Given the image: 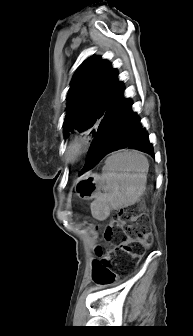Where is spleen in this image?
I'll list each match as a JSON object with an SVG mask.
<instances>
[{
	"instance_id": "obj_1",
	"label": "spleen",
	"mask_w": 193,
	"mask_h": 336,
	"mask_svg": "<svg viewBox=\"0 0 193 336\" xmlns=\"http://www.w3.org/2000/svg\"><path fill=\"white\" fill-rule=\"evenodd\" d=\"M149 163L139 151H118L110 155L103 168V193L91 203L97 220H105L111 209L135 204L142 196L147 182Z\"/></svg>"
}]
</instances>
